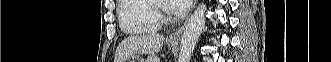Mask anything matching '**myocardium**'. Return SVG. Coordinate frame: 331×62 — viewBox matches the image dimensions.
Here are the masks:
<instances>
[{
	"instance_id": "f54148a6",
	"label": "myocardium",
	"mask_w": 331,
	"mask_h": 62,
	"mask_svg": "<svg viewBox=\"0 0 331 62\" xmlns=\"http://www.w3.org/2000/svg\"><path fill=\"white\" fill-rule=\"evenodd\" d=\"M151 6L158 14L160 22L164 23V22L168 21L169 18L166 15V13H167L166 6L163 3H161L160 1H157V0H153V1H151Z\"/></svg>"
}]
</instances>
